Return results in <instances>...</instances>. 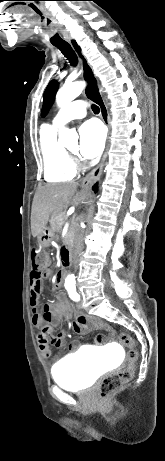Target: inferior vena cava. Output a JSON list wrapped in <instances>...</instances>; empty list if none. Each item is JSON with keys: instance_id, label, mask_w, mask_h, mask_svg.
Instances as JSON below:
<instances>
[{"instance_id": "602c4592", "label": "inferior vena cava", "mask_w": 165, "mask_h": 461, "mask_svg": "<svg viewBox=\"0 0 165 461\" xmlns=\"http://www.w3.org/2000/svg\"><path fill=\"white\" fill-rule=\"evenodd\" d=\"M83 233V230L80 228L76 236L75 250L73 254L75 268H77L78 256L83 249Z\"/></svg>"}]
</instances>
